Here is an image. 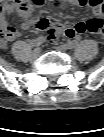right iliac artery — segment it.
I'll return each mask as SVG.
<instances>
[{"mask_svg": "<svg viewBox=\"0 0 104 137\" xmlns=\"http://www.w3.org/2000/svg\"><path fill=\"white\" fill-rule=\"evenodd\" d=\"M45 41V38L44 37H38L37 39L34 40V45L35 46H40L41 44H43Z\"/></svg>", "mask_w": 104, "mask_h": 137, "instance_id": "right-iliac-artery-1", "label": "right iliac artery"}]
</instances>
